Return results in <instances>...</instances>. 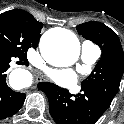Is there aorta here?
Masks as SVG:
<instances>
[{
    "label": "aorta",
    "instance_id": "aorta-1",
    "mask_svg": "<svg viewBox=\"0 0 124 124\" xmlns=\"http://www.w3.org/2000/svg\"><path fill=\"white\" fill-rule=\"evenodd\" d=\"M40 52L43 58L51 65L66 67L72 65L79 57L80 43L77 37L65 29H50L40 39ZM20 78V85L25 84L24 70H15L11 74Z\"/></svg>",
    "mask_w": 124,
    "mask_h": 124
}]
</instances>
